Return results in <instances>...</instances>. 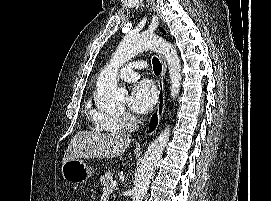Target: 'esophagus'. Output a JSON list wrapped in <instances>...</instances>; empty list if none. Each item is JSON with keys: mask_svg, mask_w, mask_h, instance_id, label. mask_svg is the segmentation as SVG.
Here are the masks:
<instances>
[{"mask_svg": "<svg viewBox=\"0 0 271 201\" xmlns=\"http://www.w3.org/2000/svg\"><path fill=\"white\" fill-rule=\"evenodd\" d=\"M160 61L162 65V72L160 76V80L158 83L159 89H158V104H157V118L160 120L165 112L166 107V88H165V75L167 70V63L165 57L161 54Z\"/></svg>", "mask_w": 271, "mask_h": 201, "instance_id": "34e87169", "label": "esophagus"}]
</instances>
